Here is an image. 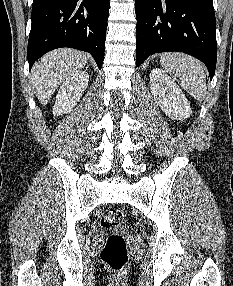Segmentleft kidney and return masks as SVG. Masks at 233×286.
Masks as SVG:
<instances>
[{
  "instance_id": "obj_1",
  "label": "left kidney",
  "mask_w": 233,
  "mask_h": 286,
  "mask_svg": "<svg viewBox=\"0 0 233 286\" xmlns=\"http://www.w3.org/2000/svg\"><path fill=\"white\" fill-rule=\"evenodd\" d=\"M150 89L155 102L171 119L183 120L192 114L186 96L163 70L155 68L151 71Z\"/></svg>"
}]
</instances>
